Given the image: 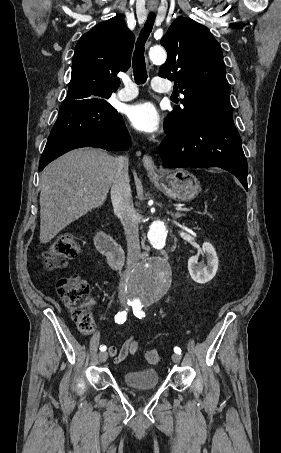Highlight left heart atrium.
Listing matches in <instances>:
<instances>
[{
    "label": "left heart atrium",
    "instance_id": "39dd6f15",
    "mask_svg": "<svg viewBox=\"0 0 281 453\" xmlns=\"http://www.w3.org/2000/svg\"><path fill=\"white\" fill-rule=\"evenodd\" d=\"M128 122L137 130L145 133L156 132L161 125V115L148 101L138 102L126 111Z\"/></svg>",
    "mask_w": 281,
    "mask_h": 453
}]
</instances>
